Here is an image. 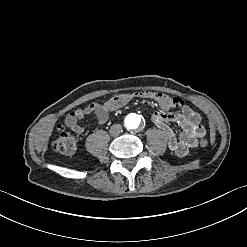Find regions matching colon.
<instances>
[{
	"mask_svg": "<svg viewBox=\"0 0 247 247\" xmlns=\"http://www.w3.org/2000/svg\"><path fill=\"white\" fill-rule=\"evenodd\" d=\"M135 96H146L148 100L161 101L160 107L162 109H170L172 102L169 99L168 92H154L153 88H142L141 92H116L115 96L107 102L109 109H122L123 105H127L128 101H134ZM200 146L203 152H209V143L206 138L200 139ZM77 145V139L72 135L66 126H58L57 135L51 141V148L53 151L64 155L71 156Z\"/></svg>",
	"mask_w": 247,
	"mask_h": 247,
	"instance_id": "5ec220e1",
	"label": "colon"
}]
</instances>
